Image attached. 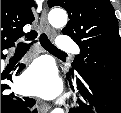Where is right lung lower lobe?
I'll return each mask as SVG.
<instances>
[{
    "label": "right lung lower lobe",
    "mask_w": 121,
    "mask_h": 113,
    "mask_svg": "<svg viewBox=\"0 0 121 113\" xmlns=\"http://www.w3.org/2000/svg\"><path fill=\"white\" fill-rule=\"evenodd\" d=\"M36 36L33 35L32 38ZM6 49V48H5ZM4 50V49H3ZM1 50V58H5ZM24 68V65H21L17 71L19 73ZM6 77H2L5 79ZM8 80L12 81L11 75L7 77ZM10 89L7 84H1V113H29L28 107L33 106L35 100L29 97H19L11 94H3L4 90Z\"/></svg>",
    "instance_id": "98d812e1"
}]
</instances>
